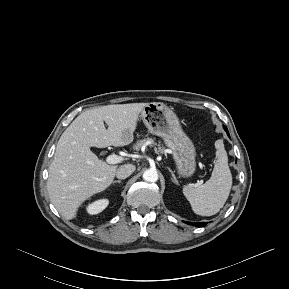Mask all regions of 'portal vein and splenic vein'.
<instances>
[{
  "label": "portal vein and splenic vein",
  "mask_w": 289,
  "mask_h": 289,
  "mask_svg": "<svg viewBox=\"0 0 289 289\" xmlns=\"http://www.w3.org/2000/svg\"><path fill=\"white\" fill-rule=\"evenodd\" d=\"M122 161H123V158L121 156H118V155H115V154L109 155L106 158V162L108 164H117V163H120Z\"/></svg>",
  "instance_id": "obj_1"
}]
</instances>
